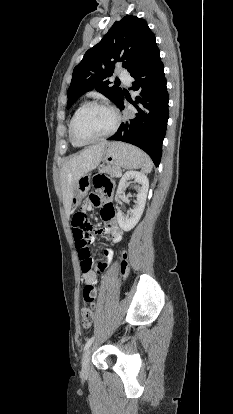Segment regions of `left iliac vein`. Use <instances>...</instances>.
<instances>
[{
    "instance_id": "left-iliac-vein-1",
    "label": "left iliac vein",
    "mask_w": 233,
    "mask_h": 414,
    "mask_svg": "<svg viewBox=\"0 0 233 414\" xmlns=\"http://www.w3.org/2000/svg\"><path fill=\"white\" fill-rule=\"evenodd\" d=\"M91 352H92V349L91 348L88 349L84 353L83 358H82V373L84 375H87L89 372V362H90Z\"/></svg>"
}]
</instances>
